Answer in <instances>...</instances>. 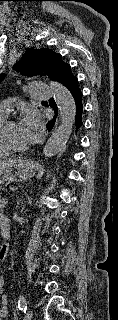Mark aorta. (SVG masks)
Here are the masks:
<instances>
[{
	"mask_svg": "<svg viewBox=\"0 0 118 320\" xmlns=\"http://www.w3.org/2000/svg\"><path fill=\"white\" fill-rule=\"evenodd\" d=\"M49 85L60 112L61 123L44 146L43 155L47 158L56 155L66 146L76 116V105L70 91L56 81L49 80Z\"/></svg>",
	"mask_w": 118,
	"mask_h": 320,
	"instance_id": "aorta-1",
	"label": "aorta"
}]
</instances>
